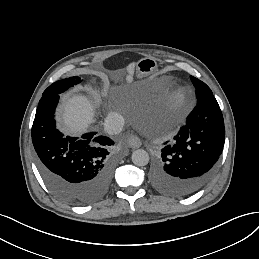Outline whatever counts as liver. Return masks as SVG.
I'll return each instance as SVG.
<instances>
[{"mask_svg":"<svg viewBox=\"0 0 259 259\" xmlns=\"http://www.w3.org/2000/svg\"><path fill=\"white\" fill-rule=\"evenodd\" d=\"M128 83L133 81L134 66L129 65ZM97 98V97H96ZM95 106L86 96L74 95L62 100L57 109L58 128L67 135L79 136L88 131L89 126L96 121Z\"/></svg>","mask_w":259,"mask_h":259,"instance_id":"obj_1","label":"liver"}]
</instances>
